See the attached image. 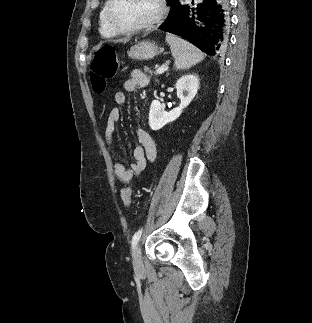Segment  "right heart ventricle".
Wrapping results in <instances>:
<instances>
[{"label": "right heart ventricle", "instance_id": "1", "mask_svg": "<svg viewBox=\"0 0 312 323\" xmlns=\"http://www.w3.org/2000/svg\"><path fill=\"white\" fill-rule=\"evenodd\" d=\"M95 24L97 25L98 33H114V22L108 18V13H95Z\"/></svg>", "mask_w": 312, "mask_h": 323}]
</instances>
